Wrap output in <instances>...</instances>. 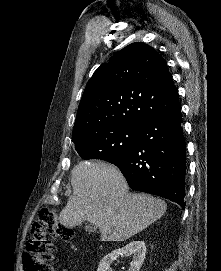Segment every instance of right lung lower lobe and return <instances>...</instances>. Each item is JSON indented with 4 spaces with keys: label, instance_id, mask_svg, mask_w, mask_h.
Segmentation results:
<instances>
[{
    "label": "right lung lower lobe",
    "instance_id": "obj_1",
    "mask_svg": "<svg viewBox=\"0 0 221 271\" xmlns=\"http://www.w3.org/2000/svg\"><path fill=\"white\" fill-rule=\"evenodd\" d=\"M113 164L131 189L165 197L184 209L186 146L181 108L145 123L134 147Z\"/></svg>",
    "mask_w": 221,
    "mask_h": 271
}]
</instances>
